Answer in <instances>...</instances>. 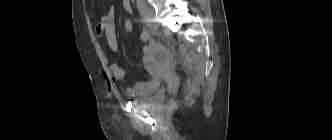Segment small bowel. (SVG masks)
<instances>
[{
	"mask_svg": "<svg viewBox=\"0 0 332 140\" xmlns=\"http://www.w3.org/2000/svg\"><path fill=\"white\" fill-rule=\"evenodd\" d=\"M124 10L128 14L133 13V9L130 3V0H123ZM94 13L98 19L96 25V34L99 37H103L106 41L107 46L113 53H117L119 49L118 39L115 31V10L114 7L111 6L105 13H98L94 10ZM140 40L142 42H147L149 39V35L147 32H142L140 34ZM153 44H147L143 47L144 53H149L153 49ZM107 80L110 89L112 88V84L115 81H122L125 77V71L121 68L117 63H112L108 66L107 70ZM147 82L138 83L133 86H129L126 88L125 92L129 97H136L144 93L146 90Z\"/></svg>",
	"mask_w": 332,
	"mask_h": 140,
	"instance_id": "1",
	"label": "small bowel"
}]
</instances>
